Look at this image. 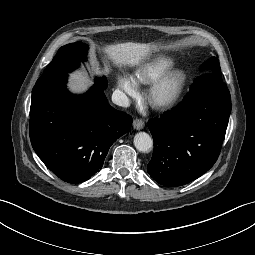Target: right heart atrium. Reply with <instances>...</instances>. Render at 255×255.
I'll return each mask as SVG.
<instances>
[{
	"label": "right heart atrium",
	"instance_id": "obj_1",
	"mask_svg": "<svg viewBox=\"0 0 255 255\" xmlns=\"http://www.w3.org/2000/svg\"><path fill=\"white\" fill-rule=\"evenodd\" d=\"M117 85L127 97H135L138 92L137 83L131 76L120 75L117 79Z\"/></svg>",
	"mask_w": 255,
	"mask_h": 255
}]
</instances>
